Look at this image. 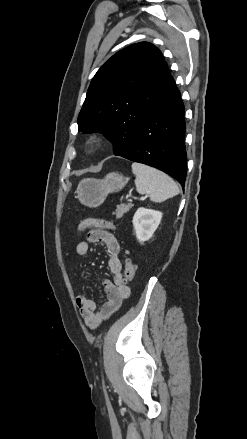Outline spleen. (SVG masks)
<instances>
[{"mask_svg": "<svg viewBox=\"0 0 247 439\" xmlns=\"http://www.w3.org/2000/svg\"><path fill=\"white\" fill-rule=\"evenodd\" d=\"M136 191L147 194L154 202H163L179 194L178 185L167 174L153 167L132 163Z\"/></svg>", "mask_w": 247, "mask_h": 439, "instance_id": "1", "label": "spleen"}]
</instances>
